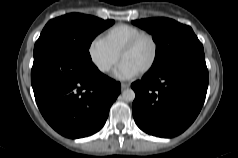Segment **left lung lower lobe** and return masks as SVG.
I'll use <instances>...</instances> for the list:
<instances>
[{
    "label": "left lung lower lobe",
    "mask_w": 238,
    "mask_h": 158,
    "mask_svg": "<svg viewBox=\"0 0 238 158\" xmlns=\"http://www.w3.org/2000/svg\"><path fill=\"white\" fill-rule=\"evenodd\" d=\"M137 126L164 138L181 134L196 119L207 92L208 70L203 49L187 51L131 85Z\"/></svg>",
    "instance_id": "obj_1"
}]
</instances>
